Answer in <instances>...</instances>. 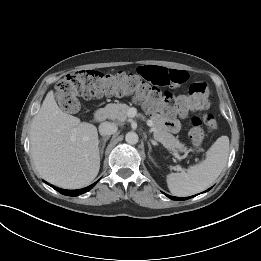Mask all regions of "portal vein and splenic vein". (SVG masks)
Returning a JSON list of instances; mask_svg holds the SVG:
<instances>
[{
    "instance_id": "18ae733b",
    "label": "portal vein and splenic vein",
    "mask_w": 261,
    "mask_h": 261,
    "mask_svg": "<svg viewBox=\"0 0 261 261\" xmlns=\"http://www.w3.org/2000/svg\"><path fill=\"white\" fill-rule=\"evenodd\" d=\"M128 116H129V117L138 116L136 109H135V108H130L129 111H128ZM139 116H140L142 119H145L144 116H142V115H139ZM146 123H147V125L150 126V127L153 126V122H152L151 120H147ZM162 144H163V146H164L165 148H167V149H169L170 151H172V152H173V155H174L177 159H181L179 153L177 152V150H176L175 148L170 147V146H168V145H166V144H164V143H162Z\"/></svg>"
}]
</instances>
